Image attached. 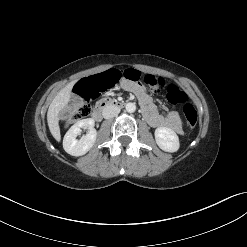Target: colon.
Here are the masks:
<instances>
[{"instance_id":"colon-1","label":"colon","mask_w":247,"mask_h":247,"mask_svg":"<svg viewBox=\"0 0 247 247\" xmlns=\"http://www.w3.org/2000/svg\"><path fill=\"white\" fill-rule=\"evenodd\" d=\"M122 77L132 82L140 81L141 75L135 69H127L119 72L116 69H107L104 72H97L93 76L86 75L77 80L74 86V91L77 97L83 99L80 103H73L69 109L67 117L64 120L66 126L73 122L82 120L88 117L91 113L90 100L97 96V93H106L109 90H116L122 84ZM144 82L149 88L159 93L166 89L167 99L173 105L183 104L182 112L190 128H193L197 123V111L194 106L187 103L186 94L175 84L166 85L161 78L152 75H146Z\"/></svg>"}]
</instances>
